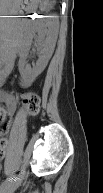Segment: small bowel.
I'll use <instances>...</instances> for the list:
<instances>
[{
	"instance_id": "obj_1",
	"label": "small bowel",
	"mask_w": 103,
	"mask_h": 193,
	"mask_svg": "<svg viewBox=\"0 0 103 193\" xmlns=\"http://www.w3.org/2000/svg\"><path fill=\"white\" fill-rule=\"evenodd\" d=\"M2 97L5 102V108L2 109V112L7 113L9 115L13 114L17 104L15 97L8 93H3Z\"/></svg>"
}]
</instances>
